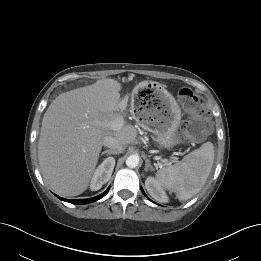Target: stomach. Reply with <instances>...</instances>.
<instances>
[{"mask_svg": "<svg viewBox=\"0 0 261 261\" xmlns=\"http://www.w3.org/2000/svg\"><path fill=\"white\" fill-rule=\"evenodd\" d=\"M146 88L147 98L145 100L136 98L133 106L136 122L156 136V142L161 148H172L177 143V131L182 117L181 108L164 85L150 82L146 84Z\"/></svg>", "mask_w": 261, "mask_h": 261, "instance_id": "0dacf381", "label": "stomach"}]
</instances>
